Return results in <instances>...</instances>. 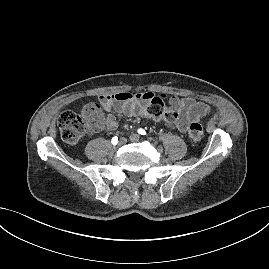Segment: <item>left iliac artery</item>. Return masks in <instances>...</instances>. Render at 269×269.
Returning <instances> with one entry per match:
<instances>
[{"mask_svg":"<svg viewBox=\"0 0 269 269\" xmlns=\"http://www.w3.org/2000/svg\"><path fill=\"white\" fill-rule=\"evenodd\" d=\"M140 135H146V131L142 128H139L137 131Z\"/></svg>","mask_w":269,"mask_h":269,"instance_id":"1","label":"left iliac artery"}]
</instances>
